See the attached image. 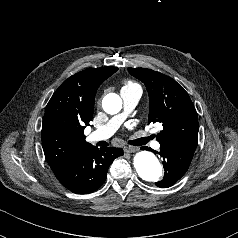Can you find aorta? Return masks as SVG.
Segmentation results:
<instances>
[{
	"label": "aorta",
	"instance_id": "obj_1",
	"mask_svg": "<svg viewBox=\"0 0 238 238\" xmlns=\"http://www.w3.org/2000/svg\"><path fill=\"white\" fill-rule=\"evenodd\" d=\"M102 107L108 114H117L122 109V100L119 95L109 93L103 98ZM133 164L139 177L147 182H158L163 175L160 162L149 151L138 152L134 156Z\"/></svg>",
	"mask_w": 238,
	"mask_h": 238
}]
</instances>
